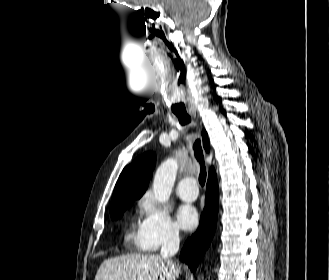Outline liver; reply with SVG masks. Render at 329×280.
Segmentation results:
<instances>
[{
	"label": "liver",
	"instance_id": "obj_1",
	"mask_svg": "<svg viewBox=\"0 0 329 280\" xmlns=\"http://www.w3.org/2000/svg\"><path fill=\"white\" fill-rule=\"evenodd\" d=\"M179 273L160 255L130 254L103 261L95 280H175Z\"/></svg>",
	"mask_w": 329,
	"mask_h": 280
}]
</instances>
